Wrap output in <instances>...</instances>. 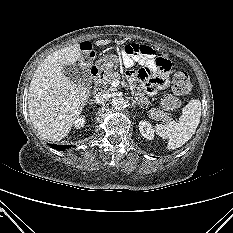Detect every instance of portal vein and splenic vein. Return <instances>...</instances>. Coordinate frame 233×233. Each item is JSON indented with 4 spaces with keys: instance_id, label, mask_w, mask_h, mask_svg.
<instances>
[{
    "instance_id": "portal-vein-and-splenic-vein-1",
    "label": "portal vein and splenic vein",
    "mask_w": 233,
    "mask_h": 233,
    "mask_svg": "<svg viewBox=\"0 0 233 233\" xmlns=\"http://www.w3.org/2000/svg\"><path fill=\"white\" fill-rule=\"evenodd\" d=\"M120 81L118 79H115L112 81L111 85L112 87H117L119 85Z\"/></svg>"
}]
</instances>
